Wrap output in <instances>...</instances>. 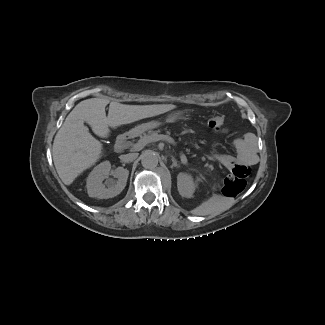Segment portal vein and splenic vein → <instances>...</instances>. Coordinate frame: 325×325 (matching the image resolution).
Returning a JSON list of instances; mask_svg holds the SVG:
<instances>
[{
  "mask_svg": "<svg viewBox=\"0 0 325 325\" xmlns=\"http://www.w3.org/2000/svg\"><path fill=\"white\" fill-rule=\"evenodd\" d=\"M156 140H168V141L174 143V140H173L172 138L166 136V135H158L157 138H156ZM152 141H154V138H149V139L146 140V141H141V142L135 143V144L133 145L132 148L135 149V150H140V149H142V148H143L147 143L152 142ZM181 161H182L183 163H186V162H187V159H186L185 155H181Z\"/></svg>",
  "mask_w": 325,
  "mask_h": 325,
  "instance_id": "portal-vein-and-splenic-vein-1",
  "label": "portal vein and splenic vein"
}]
</instances>
